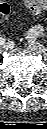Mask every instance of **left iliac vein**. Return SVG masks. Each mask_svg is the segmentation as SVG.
<instances>
[{
  "mask_svg": "<svg viewBox=\"0 0 47 129\" xmlns=\"http://www.w3.org/2000/svg\"><path fill=\"white\" fill-rule=\"evenodd\" d=\"M29 45H30L31 49L36 50L43 57H46L45 49H44V47L41 44L36 42V37L29 38Z\"/></svg>",
  "mask_w": 47,
  "mask_h": 129,
  "instance_id": "obj_1",
  "label": "left iliac vein"
}]
</instances>
